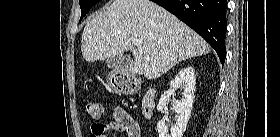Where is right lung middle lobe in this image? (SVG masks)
Wrapping results in <instances>:
<instances>
[{
  "label": "right lung middle lobe",
  "mask_w": 280,
  "mask_h": 137,
  "mask_svg": "<svg viewBox=\"0 0 280 137\" xmlns=\"http://www.w3.org/2000/svg\"><path fill=\"white\" fill-rule=\"evenodd\" d=\"M100 0H81L80 1V8H81V18H82L89 12L90 8L95 5Z\"/></svg>",
  "instance_id": "1"
}]
</instances>
